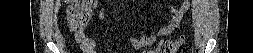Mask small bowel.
Here are the masks:
<instances>
[{
    "mask_svg": "<svg viewBox=\"0 0 253 53\" xmlns=\"http://www.w3.org/2000/svg\"><path fill=\"white\" fill-rule=\"evenodd\" d=\"M93 2V1H90ZM96 2V1H94ZM191 5V1L186 0L183 2L182 6L178 9L171 8V16L169 22L164 25L156 35L146 36L142 39H135L131 40L133 49H139L144 45H150L155 41L156 36H164L172 33L176 27L182 21L184 15L189 10ZM99 19L102 21L103 13L102 11L99 12ZM75 38L77 42L81 45V48L87 53H96V43L93 39H91L86 32V28L82 27L75 31Z\"/></svg>",
    "mask_w": 253,
    "mask_h": 53,
    "instance_id": "small-bowel-1",
    "label": "small bowel"
}]
</instances>
